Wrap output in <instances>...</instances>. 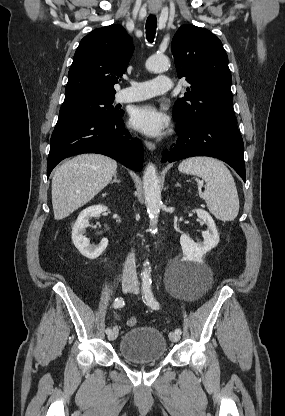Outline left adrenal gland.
Wrapping results in <instances>:
<instances>
[{
    "label": "left adrenal gland",
    "mask_w": 285,
    "mask_h": 416,
    "mask_svg": "<svg viewBox=\"0 0 285 416\" xmlns=\"http://www.w3.org/2000/svg\"><path fill=\"white\" fill-rule=\"evenodd\" d=\"M176 186H179V188H181V184H179V182H176Z\"/></svg>",
    "instance_id": "a2214340"
}]
</instances>
